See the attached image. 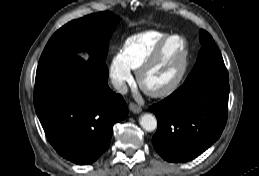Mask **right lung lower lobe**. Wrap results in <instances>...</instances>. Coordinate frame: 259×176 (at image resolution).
<instances>
[{"instance_id":"1","label":"right lung lower lobe","mask_w":259,"mask_h":176,"mask_svg":"<svg viewBox=\"0 0 259 176\" xmlns=\"http://www.w3.org/2000/svg\"><path fill=\"white\" fill-rule=\"evenodd\" d=\"M103 59L84 62L74 54L38 65L34 106L53 148L65 159L86 165L110 144L113 125L128 115L123 97L107 84Z\"/></svg>"}]
</instances>
